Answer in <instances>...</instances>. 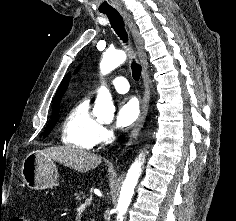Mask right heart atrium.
Listing matches in <instances>:
<instances>
[{
    "mask_svg": "<svg viewBox=\"0 0 236 221\" xmlns=\"http://www.w3.org/2000/svg\"><path fill=\"white\" fill-rule=\"evenodd\" d=\"M111 134L112 132L108 127L100 125L98 131V143H102L108 140L111 137Z\"/></svg>",
    "mask_w": 236,
    "mask_h": 221,
    "instance_id": "obj_1",
    "label": "right heart atrium"
}]
</instances>
